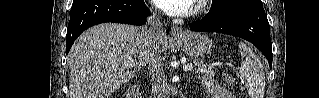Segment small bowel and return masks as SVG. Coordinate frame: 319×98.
Segmentation results:
<instances>
[{
    "mask_svg": "<svg viewBox=\"0 0 319 98\" xmlns=\"http://www.w3.org/2000/svg\"><path fill=\"white\" fill-rule=\"evenodd\" d=\"M205 86L212 98H233L230 92L213 81H205Z\"/></svg>",
    "mask_w": 319,
    "mask_h": 98,
    "instance_id": "small-bowel-1",
    "label": "small bowel"
}]
</instances>
